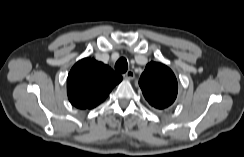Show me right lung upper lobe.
I'll use <instances>...</instances> for the list:
<instances>
[{
	"label": "right lung upper lobe",
	"mask_w": 244,
	"mask_h": 157,
	"mask_svg": "<svg viewBox=\"0 0 244 157\" xmlns=\"http://www.w3.org/2000/svg\"><path fill=\"white\" fill-rule=\"evenodd\" d=\"M121 80L122 77L109 66L93 58H84L72 67L68 75V98L77 108H94Z\"/></svg>",
	"instance_id": "right-lung-upper-lobe-1"
}]
</instances>
